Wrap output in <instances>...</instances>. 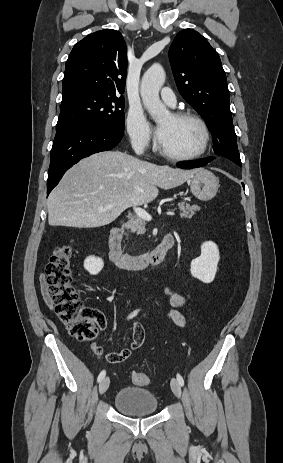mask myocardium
<instances>
[{"label": "myocardium", "mask_w": 283, "mask_h": 463, "mask_svg": "<svg viewBox=\"0 0 283 463\" xmlns=\"http://www.w3.org/2000/svg\"><path fill=\"white\" fill-rule=\"evenodd\" d=\"M171 116L175 120L188 119V120L195 121L199 125L202 131V135H203L202 144L198 151L192 154H188V155H177V154L169 153L163 148H161L159 145L158 152L160 153V155H162L163 157L169 160L178 161V162L192 161V160L198 159L201 156H203L205 152L207 151L209 143H210V131H209L206 121L199 114L195 112H191V111H179V112L172 113Z\"/></svg>", "instance_id": "obj_1"}]
</instances>
